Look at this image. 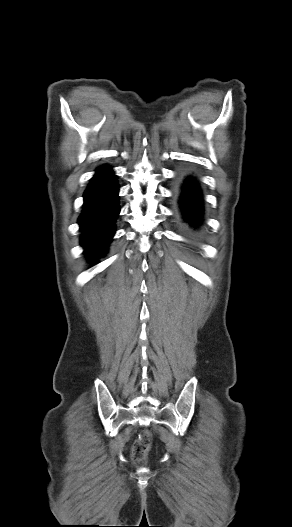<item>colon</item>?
<instances>
[{"mask_svg": "<svg viewBox=\"0 0 292 527\" xmlns=\"http://www.w3.org/2000/svg\"><path fill=\"white\" fill-rule=\"evenodd\" d=\"M150 445L151 433L149 431H143L133 445L132 457L136 464L141 465L145 462Z\"/></svg>", "mask_w": 292, "mask_h": 527, "instance_id": "colon-1", "label": "colon"}]
</instances>
